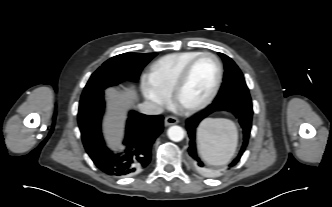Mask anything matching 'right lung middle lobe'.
Instances as JSON below:
<instances>
[{
  "instance_id": "right-lung-middle-lobe-1",
  "label": "right lung middle lobe",
  "mask_w": 332,
  "mask_h": 207,
  "mask_svg": "<svg viewBox=\"0 0 332 207\" xmlns=\"http://www.w3.org/2000/svg\"><path fill=\"white\" fill-rule=\"evenodd\" d=\"M154 56L156 53H124L110 58L91 75L81 99L126 80L137 81L143 67Z\"/></svg>"
}]
</instances>
